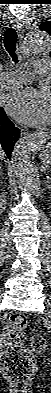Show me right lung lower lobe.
I'll return each instance as SVG.
<instances>
[{
  "instance_id": "obj_1",
  "label": "right lung lower lobe",
  "mask_w": 51,
  "mask_h": 393,
  "mask_svg": "<svg viewBox=\"0 0 51 393\" xmlns=\"http://www.w3.org/2000/svg\"><path fill=\"white\" fill-rule=\"evenodd\" d=\"M20 137V130L8 119L3 108L0 109V150L11 158L13 147Z\"/></svg>"
}]
</instances>
